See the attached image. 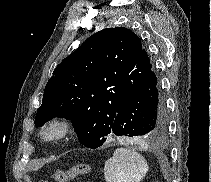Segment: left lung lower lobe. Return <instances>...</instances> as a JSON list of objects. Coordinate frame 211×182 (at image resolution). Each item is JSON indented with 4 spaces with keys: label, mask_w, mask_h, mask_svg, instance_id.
Masks as SVG:
<instances>
[{
    "label": "left lung lower lobe",
    "mask_w": 211,
    "mask_h": 182,
    "mask_svg": "<svg viewBox=\"0 0 211 182\" xmlns=\"http://www.w3.org/2000/svg\"><path fill=\"white\" fill-rule=\"evenodd\" d=\"M168 114L153 66L138 89L120 108L111 134L153 141L165 134Z\"/></svg>",
    "instance_id": "1"
}]
</instances>
